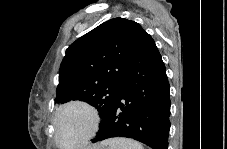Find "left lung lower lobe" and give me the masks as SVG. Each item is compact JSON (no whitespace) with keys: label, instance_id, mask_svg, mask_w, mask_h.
<instances>
[{"label":"left lung lower lobe","instance_id":"left-lung-lower-lobe-1","mask_svg":"<svg viewBox=\"0 0 227 149\" xmlns=\"http://www.w3.org/2000/svg\"><path fill=\"white\" fill-rule=\"evenodd\" d=\"M170 93L165 65L152 37L143 31L121 90L100 122L93 143L127 137L167 149Z\"/></svg>","mask_w":227,"mask_h":149}]
</instances>
